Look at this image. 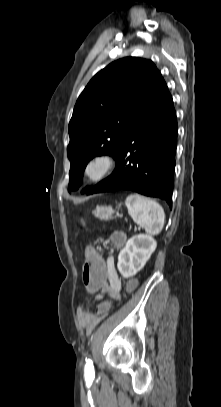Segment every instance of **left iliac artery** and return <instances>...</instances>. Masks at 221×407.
Returning a JSON list of instances; mask_svg holds the SVG:
<instances>
[{
	"mask_svg": "<svg viewBox=\"0 0 221 407\" xmlns=\"http://www.w3.org/2000/svg\"><path fill=\"white\" fill-rule=\"evenodd\" d=\"M84 371H85V378H93L95 375L93 362L89 358L88 359L86 358V364H85Z\"/></svg>",
	"mask_w": 221,
	"mask_h": 407,
	"instance_id": "1",
	"label": "left iliac artery"
}]
</instances>
